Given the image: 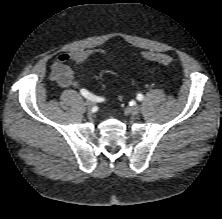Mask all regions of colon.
<instances>
[{"instance_id":"5ec220e1","label":"colon","mask_w":222,"mask_h":219,"mask_svg":"<svg viewBox=\"0 0 222 219\" xmlns=\"http://www.w3.org/2000/svg\"><path fill=\"white\" fill-rule=\"evenodd\" d=\"M143 57L147 61L155 62L161 65H169L174 61V58L171 55L164 53L147 52L143 54Z\"/></svg>"}]
</instances>
